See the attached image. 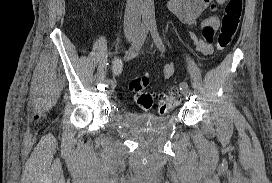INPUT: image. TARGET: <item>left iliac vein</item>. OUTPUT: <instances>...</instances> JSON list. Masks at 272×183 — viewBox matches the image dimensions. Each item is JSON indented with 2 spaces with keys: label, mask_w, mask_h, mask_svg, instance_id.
I'll use <instances>...</instances> for the list:
<instances>
[{
  "label": "left iliac vein",
  "mask_w": 272,
  "mask_h": 183,
  "mask_svg": "<svg viewBox=\"0 0 272 183\" xmlns=\"http://www.w3.org/2000/svg\"><path fill=\"white\" fill-rule=\"evenodd\" d=\"M181 93L184 95V96H190L191 95V91L187 88V89H184L183 91H181Z\"/></svg>",
  "instance_id": "obj_1"
}]
</instances>
